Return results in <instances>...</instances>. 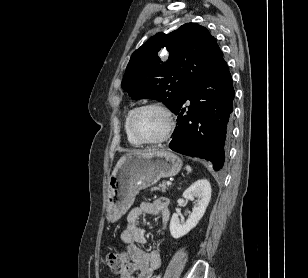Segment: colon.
Listing matches in <instances>:
<instances>
[{"mask_svg":"<svg viewBox=\"0 0 308 278\" xmlns=\"http://www.w3.org/2000/svg\"><path fill=\"white\" fill-rule=\"evenodd\" d=\"M128 259L126 252H112L106 255L105 264L112 273L119 274L124 270Z\"/></svg>","mask_w":308,"mask_h":278,"instance_id":"5ec220e1","label":"colon"}]
</instances>
